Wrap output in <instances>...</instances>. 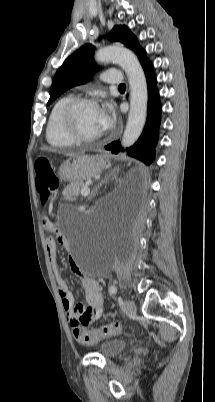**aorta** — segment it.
<instances>
[{
    "instance_id": "1",
    "label": "aorta",
    "mask_w": 215,
    "mask_h": 402,
    "mask_svg": "<svg viewBox=\"0 0 215 402\" xmlns=\"http://www.w3.org/2000/svg\"><path fill=\"white\" fill-rule=\"evenodd\" d=\"M98 62H114L125 71L130 86V111L126 128L122 137V146L130 147L139 138L147 114V83L144 71L137 57L129 50L121 47H105L95 54Z\"/></svg>"
}]
</instances>
